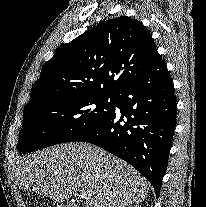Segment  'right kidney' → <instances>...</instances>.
<instances>
[{
    "label": "right kidney",
    "instance_id": "1",
    "mask_svg": "<svg viewBox=\"0 0 206 207\" xmlns=\"http://www.w3.org/2000/svg\"><path fill=\"white\" fill-rule=\"evenodd\" d=\"M129 207H139V206L136 205V206H129Z\"/></svg>",
    "mask_w": 206,
    "mask_h": 207
}]
</instances>
